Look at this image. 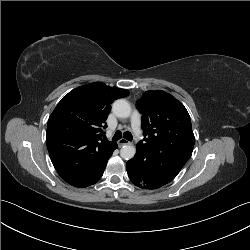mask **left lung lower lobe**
Masks as SVG:
<instances>
[{
	"label": "left lung lower lobe",
	"mask_w": 250,
	"mask_h": 250,
	"mask_svg": "<svg viewBox=\"0 0 250 250\" xmlns=\"http://www.w3.org/2000/svg\"><path fill=\"white\" fill-rule=\"evenodd\" d=\"M126 169L130 180L142 189L159 188L181 170L174 165L152 161L144 150L138 148L135 156L127 162Z\"/></svg>",
	"instance_id": "0a47b994"
}]
</instances>
